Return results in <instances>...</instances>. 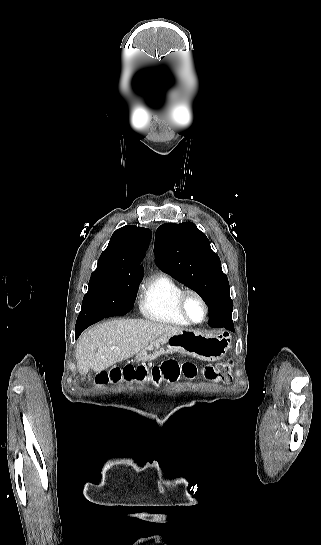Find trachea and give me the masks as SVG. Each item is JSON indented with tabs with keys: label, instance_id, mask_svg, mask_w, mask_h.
I'll return each instance as SVG.
<instances>
[{
	"label": "trachea",
	"instance_id": "obj_1",
	"mask_svg": "<svg viewBox=\"0 0 321 545\" xmlns=\"http://www.w3.org/2000/svg\"><path fill=\"white\" fill-rule=\"evenodd\" d=\"M156 112L157 113H162L163 112V107L162 106H157L156 107Z\"/></svg>",
	"mask_w": 321,
	"mask_h": 545
}]
</instances>
